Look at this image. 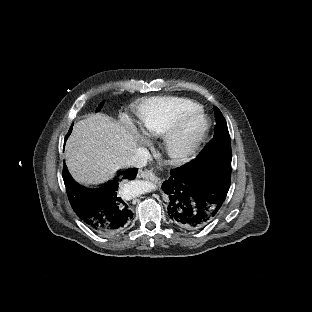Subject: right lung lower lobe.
<instances>
[{
	"label": "right lung lower lobe",
	"mask_w": 312,
	"mask_h": 312,
	"mask_svg": "<svg viewBox=\"0 0 312 312\" xmlns=\"http://www.w3.org/2000/svg\"><path fill=\"white\" fill-rule=\"evenodd\" d=\"M137 170H121L104 185L86 188L72 179L64 163L62 175L70 204L86 226L96 233L113 235L129 225L133 212L124 192L127 183L135 179Z\"/></svg>",
	"instance_id": "98d812e1"
}]
</instances>
